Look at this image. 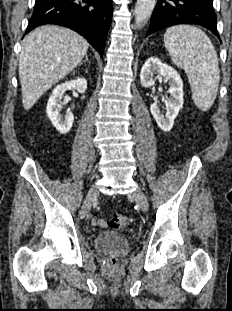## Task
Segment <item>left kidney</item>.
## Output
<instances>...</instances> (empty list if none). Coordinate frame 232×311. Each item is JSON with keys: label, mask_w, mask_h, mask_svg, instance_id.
Segmentation results:
<instances>
[{"label": "left kidney", "mask_w": 232, "mask_h": 311, "mask_svg": "<svg viewBox=\"0 0 232 311\" xmlns=\"http://www.w3.org/2000/svg\"><path fill=\"white\" fill-rule=\"evenodd\" d=\"M155 75H157V78L166 77V79L169 80L170 88L168 92L171 97L168 99L165 116L160 111L156 102L150 106V111L160 129L164 132H168L173 127L174 119L183 106V82L180 75L173 67L162 63L157 57H150L141 69L140 80L142 86L146 88L153 86L155 83Z\"/></svg>", "instance_id": "obj_1"}]
</instances>
